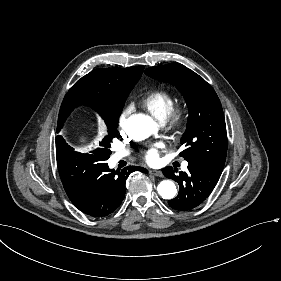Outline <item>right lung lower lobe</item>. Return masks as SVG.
Wrapping results in <instances>:
<instances>
[{"instance_id":"right-lung-lower-lobe-1","label":"right lung lower lobe","mask_w":281,"mask_h":281,"mask_svg":"<svg viewBox=\"0 0 281 281\" xmlns=\"http://www.w3.org/2000/svg\"><path fill=\"white\" fill-rule=\"evenodd\" d=\"M57 158L64 167L75 165L76 173L68 170L60 174L64 189L71 202L83 213L103 217L117 209L125 196V180L135 170L147 173L142 167L129 166L121 171L109 169L102 154L74 151L62 136L56 137Z\"/></svg>"}]
</instances>
